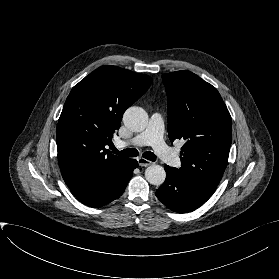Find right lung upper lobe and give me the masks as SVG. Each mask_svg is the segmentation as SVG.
Returning <instances> with one entry per match:
<instances>
[{"mask_svg": "<svg viewBox=\"0 0 279 279\" xmlns=\"http://www.w3.org/2000/svg\"><path fill=\"white\" fill-rule=\"evenodd\" d=\"M152 78L116 66L97 68L71 90L57 125L63 179L74 196L86 199L109 185L130 159L109 153L125 110L150 87Z\"/></svg>", "mask_w": 279, "mask_h": 279, "instance_id": "cb5924a9", "label": "right lung upper lobe"}]
</instances>
